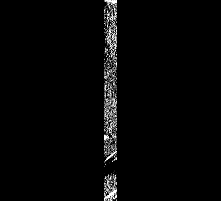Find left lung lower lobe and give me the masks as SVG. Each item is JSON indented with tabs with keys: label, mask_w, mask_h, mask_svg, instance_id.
<instances>
[{
	"label": "left lung lower lobe",
	"mask_w": 221,
	"mask_h": 201,
	"mask_svg": "<svg viewBox=\"0 0 221 201\" xmlns=\"http://www.w3.org/2000/svg\"><path fill=\"white\" fill-rule=\"evenodd\" d=\"M118 144L117 160L108 165H104V144L103 140L95 142L92 146L87 147L82 161V167L86 175H91L94 179L103 181L105 174L115 170L117 172V183L123 184L127 182V156H123ZM112 159L109 160V162Z\"/></svg>",
	"instance_id": "left-lung-lower-lobe-1"
}]
</instances>
